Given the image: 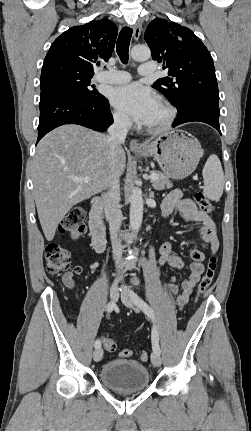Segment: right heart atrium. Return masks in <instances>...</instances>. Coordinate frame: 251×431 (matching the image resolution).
<instances>
[{
	"mask_svg": "<svg viewBox=\"0 0 251 431\" xmlns=\"http://www.w3.org/2000/svg\"><path fill=\"white\" fill-rule=\"evenodd\" d=\"M113 120L116 126L119 128L127 129L130 126L129 119L120 112H114L113 113Z\"/></svg>",
	"mask_w": 251,
	"mask_h": 431,
	"instance_id": "obj_1",
	"label": "right heart atrium"
}]
</instances>
